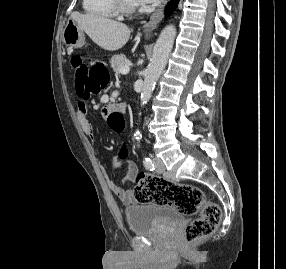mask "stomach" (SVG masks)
<instances>
[{
  "mask_svg": "<svg viewBox=\"0 0 286 269\" xmlns=\"http://www.w3.org/2000/svg\"><path fill=\"white\" fill-rule=\"evenodd\" d=\"M63 43L71 48H80L85 43L84 31L74 20H68L65 25Z\"/></svg>",
  "mask_w": 286,
  "mask_h": 269,
  "instance_id": "stomach-1",
  "label": "stomach"
}]
</instances>
